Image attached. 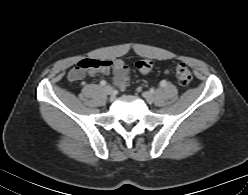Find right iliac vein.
<instances>
[{
  "mask_svg": "<svg viewBox=\"0 0 248 195\" xmlns=\"http://www.w3.org/2000/svg\"><path fill=\"white\" fill-rule=\"evenodd\" d=\"M104 91H105L106 94H108L110 96H113V89H112L111 86H105Z\"/></svg>",
  "mask_w": 248,
  "mask_h": 195,
  "instance_id": "right-iliac-vein-1",
  "label": "right iliac vein"
}]
</instances>
